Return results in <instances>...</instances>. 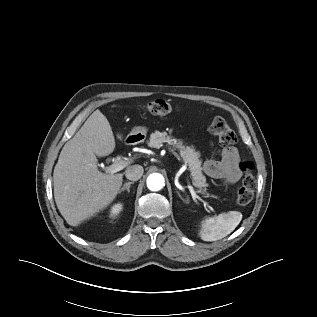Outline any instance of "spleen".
Returning a JSON list of instances; mask_svg holds the SVG:
<instances>
[{"mask_svg": "<svg viewBox=\"0 0 317 317\" xmlns=\"http://www.w3.org/2000/svg\"><path fill=\"white\" fill-rule=\"evenodd\" d=\"M241 220L242 214L238 211L221 213L216 217H206L202 221L199 236L203 241L220 240L233 232Z\"/></svg>", "mask_w": 317, "mask_h": 317, "instance_id": "obj_1", "label": "spleen"}]
</instances>
